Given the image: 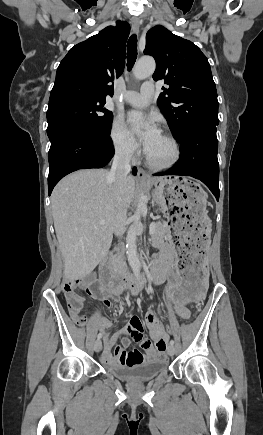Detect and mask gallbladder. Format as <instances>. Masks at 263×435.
Instances as JSON below:
<instances>
[{
    "mask_svg": "<svg viewBox=\"0 0 263 435\" xmlns=\"http://www.w3.org/2000/svg\"><path fill=\"white\" fill-rule=\"evenodd\" d=\"M94 279H95L94 275L87 276L86 278L87 281H93Z\"/></svg>",
    "mask_w": 263,
    "mask_h": 435,
    "instance_id": "bac80fb5",
    "label": "gallbladder"
}]
</instances>
